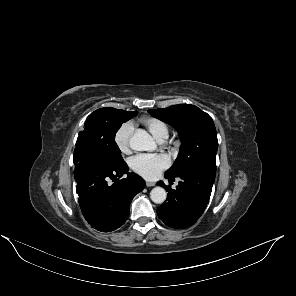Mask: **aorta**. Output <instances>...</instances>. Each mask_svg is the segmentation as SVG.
I'll return each instance as SVG.
<instances>
[{
  "mask_svg": "<svg viewBox=\"0 0 296 296\" xmlns=\"http://www.w3.org/2000/svg\"><path fill=\"white\" fill-rule=\"evenodd\" d=\"M130 147L135 151H151L156 149V143L146 132H136L130 139ZM167 197L164 188L157 186L150 192L151 200L156 204H162Z\"/></svg>",
  "mask_w": 296,
  "mask_h": 296,
  "instance_id": "1",
  "label": "aorta"
}]
</instances>
